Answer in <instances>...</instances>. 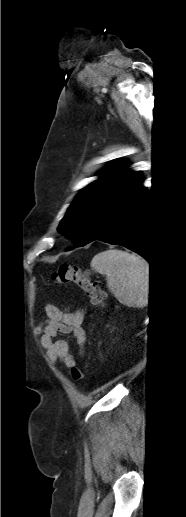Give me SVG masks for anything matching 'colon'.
Wrapping results in <instances>:
<instances>
[{"mask_svg":"<svg viewBox=\"0 0 186 517\" xmlns=\"http://www.w3.org/2000/svg\"><path fill=\"white\" fill-rule=\"evenodd\" d=\"M53 279L56 283L66 285L73 284L82 289L91 304L101 308L105 303V293L97 281L90 280L81 268L69 264L61 265L54 273ZM71 376L74 381H81L84 378L83 369L78 366L71 367Z\"/></svg>","mask_w":186,"mask_h":517,"instance_id":"5ec220e1","label":"colon"}]
</instances>
